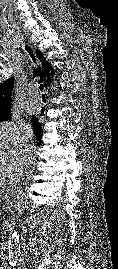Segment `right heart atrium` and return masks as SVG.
Listing matches in <instances>:
<instances>
[{
  "mask_svg": "<svg viewBox=\"0 0 118 269\" xmlns=\"http://www.w3.org/2000/svg\"><path fill=\"white\" fill-rule=\"evenodd\" d=\"M14 116L17 117V113L16 112H15Z\"/></svg>",
  "mask_w": 118,
  "mask_h": 269,
  "instance_id": "obj_1",
  "label": "right heart atrium"
}]
</instances>
